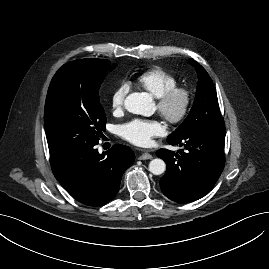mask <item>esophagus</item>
<instances>
[{"label": "esophagus", "instance_id": "esophagus-1", "mask_svg": "<svg viewBox=\"0 0 269 269\" xmlns=\"http://www.w3.org/2000/svg\"><path fill=\"white\" fill-rule=\"evenodd\" d=\"M152 158H153L152 155L149 154L148 152H144L143 154H141L139 156L140 160H148V159H152Z\"/></svg>", "mask_w": 269, "mask_h": 269}]
</instances>
